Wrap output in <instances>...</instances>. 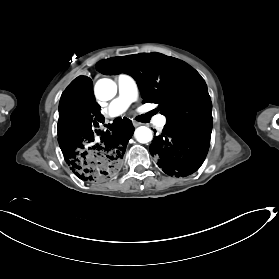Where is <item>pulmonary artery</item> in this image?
Returning <instances> with one entry per match:
<instances>
[{"label":"pulmonary artery","instance_id":"1","mask_svg":"<svg viewBox=\"0 0 279 279\" xmlns=\"http://www.w3.org/2000/svg\"><path fill=\"white\" fill-rule=\"evenodd\" d=\"M115 81L118 87V95L102 109V113L107 117L123 113L137 96L136 83L130 76L119 74L115 77Z\"/></svg>","mask_w":279,"mask_h":279}]
</instances>
